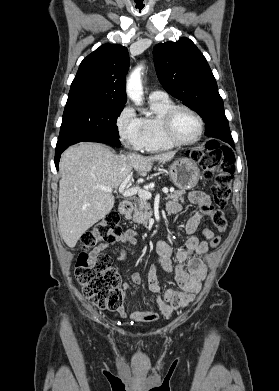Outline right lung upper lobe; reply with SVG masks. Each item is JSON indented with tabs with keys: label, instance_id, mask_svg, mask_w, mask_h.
Returning a JSON list of instances; mask_svg holds the SVG:
<instances>
[{
	"label": "right lung upper lobe",
	"instance_id": "1",
	"mask_svg": "<svg viewBox=\"0 0 279 391\" xmlns=\"http://www.w3.org/2000/svg\"><path fill=\"white\" fill-rule=\"evenodd\" d=\"M129 65L127 48L118 44H104L89 54L71 84L65 110L88 105L124 106Z\"/></svg>",
	"mask_w": 279,
	"mask_h": 391
}]
</instances>
